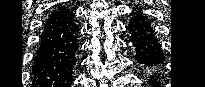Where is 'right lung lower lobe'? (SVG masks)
Returning <instances> with one entry per match:
<instances>
[{
	"label": "right lung lower lobe",
	"mask_w": 205,
	"mask_h": 87,
	"mask_svg": "<svg viewBox=\"0 0 205 87\" xmlns=\"http://www.w3.org/2000/svg\"><path fill=\"white\" fill-rule=\"evenodd\" d=\"M75 13L62 6L46 20L32 74L35 87H69L78 50L79 27Z\"/></svg>",
	"instance_id": "98d812e1"
}]
</instances>
